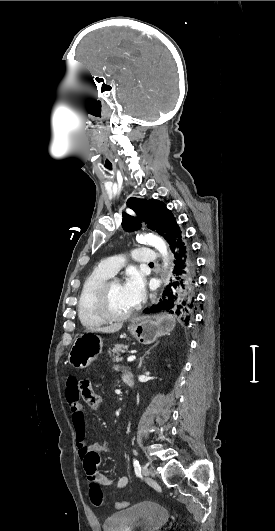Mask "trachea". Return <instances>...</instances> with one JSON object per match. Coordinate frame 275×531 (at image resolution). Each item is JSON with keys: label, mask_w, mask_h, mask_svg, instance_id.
<instances>
[{"label": "trachea", "mask_w": 275, "mask_h": 531, "mask_svg": "<svg viewBox=\"0 0 275 531\" xmlns=\"http://www.w3.org/2000/svg\"><path fill=\"white\" fill-rule=\"evenodd\" d=\"M149 266L153 267V266H154V264H153V263H149Z\"/></svg>", "instance_id": "trachea-1"}]
</instances>
